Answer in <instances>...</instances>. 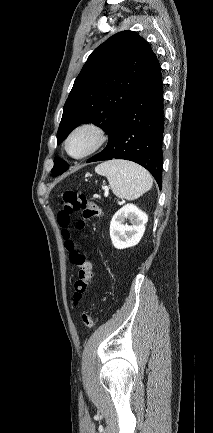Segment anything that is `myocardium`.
Segmentation results:
<instances>
[{
    "label": "myocardium",
    "mask_w": 213,
    "mask_h": 433,
    "mask_svg": "<svg viewBox=\"0 0 213 433\" xmlns=\"http://www.w3.org/2000/svg\"><path fill=\"white\" fill-rule=\"evenodd\" d=\"M82 132H88V133L93 135V137H94L93 144L83 154L77 155V156L72 155L70 153V150H69V143L75 135L82 133ZM106 140H107V137H106L105 131L103 130V128L101 126H99L98 124H96L94 122H84V123L77 125L76 127H74L69 132V134L66 137L64 147H65L66 153L71 158L84 159V158L94 154L96 151H98L104 145Z\"/></svg>",
    "instance_id": "1"
}]
</instances>
